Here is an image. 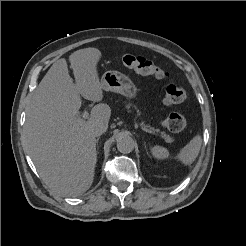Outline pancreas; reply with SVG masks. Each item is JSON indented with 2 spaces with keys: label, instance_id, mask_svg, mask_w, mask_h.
<instances>
[{
  "label": "pancreas",
  "instance_id": "cf45deb5",
  "mask_svg": "<svg viewBox=\"0 0 246 246\" xmlns=\"http://www.w3.org/2000/svg\"><path fill=\"white\" fill-rule=\"evenodd\" d=\"M130 106H132V104H127V105H126L127 108H130ZM134 107H135V106H134ZM135 108H136V107H135ZM137 112H138V114H140L139 110H137ZM148 127H149V126H148ZM151 129L154 131V133H155L156 135H160L162 138H164L166 142H171V141H173V139H172L169 135L165 134L164 132H160V130L154 129V128H151Z\"/></svg>",
  "mask_w": 246,
  "mask_h": 246
}]
</instances>
